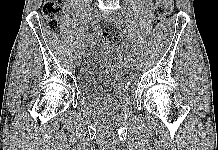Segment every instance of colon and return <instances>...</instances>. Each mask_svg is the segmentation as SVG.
I'll use <instances>...</instances> for the list:
<instances>
[{
	"instance_id": "colon-1",
	"label": "colon",
	"mask_w": 218,
	"mask_h": 150,
	"mask_svg": "<svg viewBox=\"0 0 218 150\" xmlns=\"http://www.w3.org/2000/svg\"><path fill=\"white\" fill-rule=\"evenodd\" d=\"M61 11V0H45L42 12L50 29L54 30L58 26ZM169 9L159 0L154 6V17L158 22H163L168 18ZM98 41L105 45H110L114 41V35L104 30L96 32Z\"/></svg>"
}]
</instances>
